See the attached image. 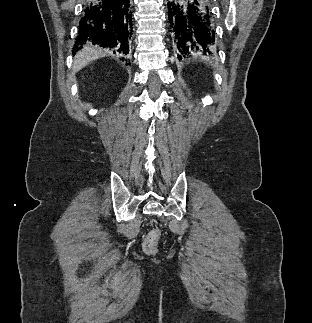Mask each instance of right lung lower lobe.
I'll return each mask as SVG.
<instances>
[{
  "label": "right lung lower lobe",
  "mask_w": 312,
  "mask_h": 323,
  "mask_svg": "<svg viewBox=\"0 0 312 323\" xmlns=\"http://www.w3.org/2000/svg\"><path fill=\"white\" fill-rule=\"evenodd\" d=\"M132 19L130 0H88L83 5L73 54L93 44L124 59L129 54Z\"/></svg>",
  "instance_id": "98d812e1"
}]
</instances>
